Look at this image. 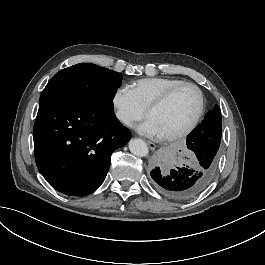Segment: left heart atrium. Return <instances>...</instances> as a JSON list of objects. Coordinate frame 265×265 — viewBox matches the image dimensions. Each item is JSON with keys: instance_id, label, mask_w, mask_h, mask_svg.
I'll use <instances>...</instances> for the list:
<instances>
[{"instance_id": "1", "label": "left heart atrium", "mask_w": 265, "mask_h": 265, "mask_svg": "<svg viewBox=\"0 0 265 265\" xmlns=\"http://www.w3.org/2000/svg\"><path fill=\"white\" fill-rule=\"evenodd\" d=\"M137 130L140 134L151 137V138H162L163 134L158 128L156 122L153 119L148 118L146 121L141 123Z\"/></svg>"}]
</instances>
